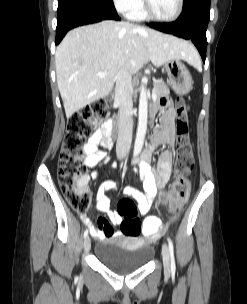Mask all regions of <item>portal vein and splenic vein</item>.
Returning <instances> with one entry per match:
<instances>
[{
	"label": "portal vein and splenic vein",
	"instance_id": "18ae733b",
	"mask_svg": "<svg viewBox=\"0 0 247 304\" xmlns=\"http://www.w3.org/2000/svg\"><path fill=\"white\" fill-rule=\"evenodd\" d=\"M107 75L106 72H101V73H98V76L99 77H105ZM152 97H156V94L154 92H152Z\"/></svg>",
	"mask_w": 247,
	"mask_h": 304
}]
</instances>
